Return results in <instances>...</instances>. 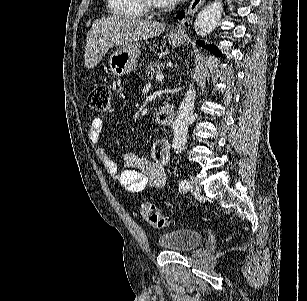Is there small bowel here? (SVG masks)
Segmentation results:
<instances>
[{"label": "small bowel", "instance_id": "small-bowel-1", "mask_svg": "<svg viewBox=\"0 0 307 301\" xmlns=\"http://www.w3.org/2000/svg\"><path fill=\"white\" fill-rule=\"evenodd\" d=\"M109 117L116 118L120 115L119 109H111ZM104 127L102 118H94L88 132L90 142H99ZM96 154L102 165L120 187L127 192L138 193L143 190L162 188L166 183L165 168L170 159L169 145L166 140H158L153 145L152 158L148 159L139 153L129 152L124 155L127 170L120 171L117 164L110 158L102 147L96 149Z\"/></svg>", "mask_w": 307, "mask_h": 301}]
</instances>
